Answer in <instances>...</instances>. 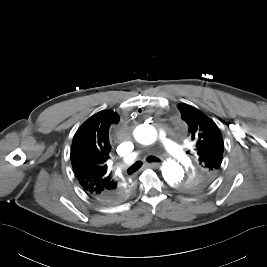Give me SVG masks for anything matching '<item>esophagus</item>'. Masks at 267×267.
Masks as SVG:
<instances>
[{
	"label": "esophagus",
	"instance_id": "obj_1",
	"mask_svg": "<svg viewBox=\"0 0 267 267\" xmlns=\"http://www.w3.org/2000/svg\"><path fill=\"white\" fill-rule=\"evenodd\" d=\"M146 165H147L148 167L158 168V167L160 166V163L151 162V163H147Z\"/></svg>",
	"mask_w": 267,
	"mask_h": 267
}]
</instances>
